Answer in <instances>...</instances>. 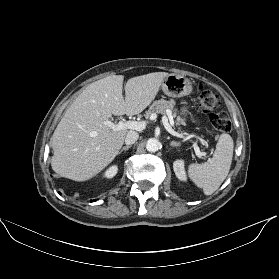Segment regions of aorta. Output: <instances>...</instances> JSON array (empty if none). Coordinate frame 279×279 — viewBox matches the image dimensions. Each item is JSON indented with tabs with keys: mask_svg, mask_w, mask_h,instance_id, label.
Returning <instances> with one entry per match:
<instances>
[{
	"mask_svg": "<svg viewBox=\"0 0 279 279\" xmlns=\"http://www.w3.org/2000/svg\"><path fill=\"white\" fill-rule=\"evenodd\" d=\"M161 143L155 138H150L146 143V149L149 152H156L160 149Z\"/></svg>",
	"mask_w": 279,
	"mask_h": 279,
	"instance_id": "762f6f07",
	"label": "aorta"
}]
</instances>
